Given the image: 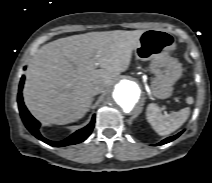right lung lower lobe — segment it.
Here are the masks:
<instances>
[{"label": "right lung lower lobe", "mask_w": 212, "mask_h": 183, "mask_svg": "<svg viewBox=\"0 0 212 183\" xmlns=\"http://www.w3.org/2000/svg\"><path fill=\"white\" fill-rule=\"evenodd\" d=\"M24 78L25 77L22 76L20 84H19L18 105H19L20 115L25 126L36 138L47 143L48 145H51L54 147H63V146L80 143L84 141L91 134L94 128L95 116L92 117L91 123L89 125L76 131L74 134H72L65 140L55 142V141H50L44 138L39 132L40 123L29 113V111L27 110V108L25 107L23 103L21 91L24 84Z\"/></svg>", "instance_id": "98d812e1"}]
</instances>
